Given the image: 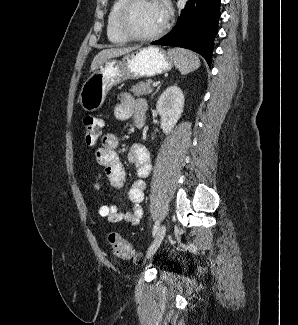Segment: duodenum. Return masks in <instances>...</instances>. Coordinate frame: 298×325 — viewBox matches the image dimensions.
<instances>
[{
	"label": "duodenum",
	"mask_w": 298,
	"mask_h": 325,
	"mask_svg": "<svg viewBox=\"0 0 298 325\" xmlns=\"http://www.w3.org/2000/svg\"><path fill=\"white\" fill-rule=\"evenodd\" d=\"M147 109L148 107L145 102H139L136 104L134 109V117L138 127H142L146 117Z\"/></svg>",
	"instance_id": "duodenum-1"
}]
</instances>
